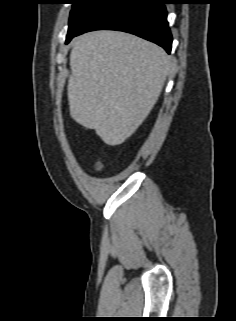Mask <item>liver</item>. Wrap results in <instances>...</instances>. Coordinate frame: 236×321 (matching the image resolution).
<instances>
[{
    "label": "liver",
    "instance_id": "liver-1",
    "mask_svg": "<svg viewBox=\"0 0 236 321\" xmlns=\"http://www.w3.org/2000/svg\"><path fill=\"white\" fill-rule=\"evenodd\" d=\"M67 94L71 117L110 146L126 141L157 102L172 60L159 46L119 31L74 40Z\"/></svg>",
    "mask_w": 236,
    "mask_h": 321
}]
</instances>
